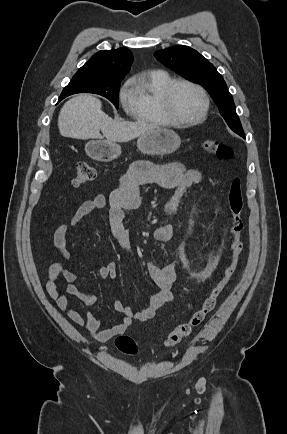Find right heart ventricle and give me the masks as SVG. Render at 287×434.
<instances>
[{"mask_svg":"<svg viewBox=\"0 0 287 434\" xmlns=\"http://www.w3.org/2000/svg\"><path fill=\"white\" fill-rule=\"evenodd\" d=\"M172 76L164 70H150L132 79L133 103L128 112L138 121L169 125L161 107V95Z\"/></svg>","mask_w":287,"mask_h":434,"instance_id":"1","label":"right heart ventricle"}]
</instances>
